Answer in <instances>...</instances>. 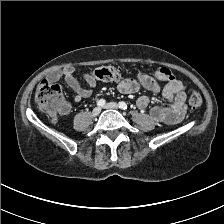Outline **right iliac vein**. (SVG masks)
Wrapping results in <instances>:
<instances>
[{"label": "right iliac vein", "mask_w": 224, "mask_h": 224, "mask_svg": "<svg viewBox=\"0 0 224 224\" xmlns=\"http://www.w3.org/2000/svg\"><path fill=\"white\" fill-rule=\"evenodd\" d=\"M101 112V108L100 107H95L93 110H92V115L93 116H98Z\"/></svg>", "instance_id": "right-iliac-vein-1"}]
</instances>
